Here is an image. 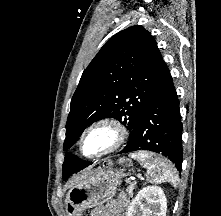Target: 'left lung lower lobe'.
I'll return each mask as SVG.
<instances>
[{
  "mask_svg": "<svg viewBox=\"0 0 221 216\" xmlns=\"http://www.w3.org/2000/svg\"><path fill=\"white\" fill-rule=\"evenodd\" d=\"M182 123L179 101L166 64L158 67L147 107L136 125L134 136L119 153L149 150L168 157L181 170ZM92 162L85 164L84 168Z\"/></svg>",
  "mask_w": 221,
  "mask_h": 216,
  "instance_id": "left-lung-lower-lobe-1",
  "label": "left lung lower lobe"
}]
</instances>
